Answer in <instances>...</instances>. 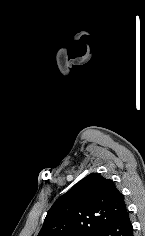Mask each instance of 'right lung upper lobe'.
I'll return each instance as SVG.
<instances>
[{
    "instance_id": "cb5924a9",
    "label": "right lung upper lobe",
    "mask_w": 145,
    "mask_h": 236,
    "mask_svg": "<svg viewBox=\"0 0 145 236\" xmlns=\"http://www.w3.org/2000/svg\"><path fill=\"white\" fill-rule=\"evenodd\" d=\"M126 209L114 182L92 173L52 205L38 236H95Z\"/></svg>"
}]
</instances>
